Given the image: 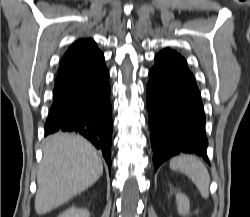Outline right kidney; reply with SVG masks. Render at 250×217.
Masks as SVG:
<instances>
[{
  "label": "right kidney",
  "instance_id": "ca27d5eb",
  "mask_svg": "<svg viewBox=\"0 0 250 217\" xmlns=\"http://www.w3.org/2000/svg\"><path fill=\"white\" fill-rule=\"evenodd\" d=\"M58 217H90V213L86 208L71 207L65 210Z\"/></svg>",
  "mask_w": 250,
  "mask_h": 217
}]
</instances>
